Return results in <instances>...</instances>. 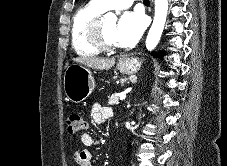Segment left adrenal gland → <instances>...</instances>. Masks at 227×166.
I'll list each match as a JSON object with an SVG mask.
<instances>
[{
  "label": "left adrenal gland",
  "mask_w": 227,
  "mask_h": 166,
  "mask_svg": "<svg viewBox=\"0 0 227 166\" xmlns=\"http://www.w3.org/2000/svg\"><path fill=\"white\" fill-rule=\"evenodd\" d=\"M128 107H130V103L128 102Z\"/></svg>",
  "instance_id": "1"
}]
</instances>
